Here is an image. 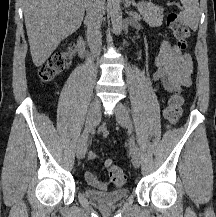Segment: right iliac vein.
I'll return each instance as SVG.
<instances>
[{
  "mask_svg": "<svg viewBox=\"0 0 216 217\" xmlns=\"http://www.w3.org/2000/svg\"><path fill=\"white\" fill-rule=\"evenodd\" d=\"M99 111H100V101L98 98H94L88 110L85 131L82 134L81 138L79 139L77 145L76 154L79 159L84 158L86 154L88 133L91 129L95 127L98 120Z\"/></svg>",
  "mask_w": 216,
  "mask_h": 217,
  "instance_id": "right-iliac-vein-1",
  "label": "right iliac vein"
}]
</instances>
